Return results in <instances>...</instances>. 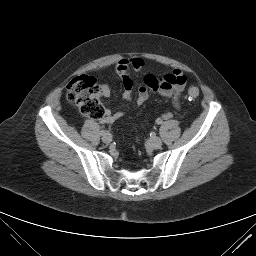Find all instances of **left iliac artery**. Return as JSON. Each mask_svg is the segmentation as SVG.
<instances>
[{"label":"left iliac artery","mask_w":256,"mask_h":256,"mask_svg":"<svg viewBox=\"0 0 256 256\" xmlns=\"http://www.w3.org/2000/svg\"><path fill=\"white\" fill-rule=\"evenodd\" d=\"M162 120L160 119V118H158L157 120H156V123L159 125V124H162Z\"/></svg>","instance_id":"1"}]
</instances>
